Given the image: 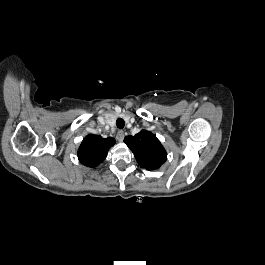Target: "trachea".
Masks as SVG:
<instances>
[{"instance_id": "3493384b", "label": "trachea", "mask_w": 265, "mask_h": 265, "mask_svg": "<svg viewBox=\"0 0 265 265\" xmlns=\"http://www.w3.org/2000/svg\"><path fill=\"white\" fill-rule=\"evenodd\" d=\"M116 126L119 129H122L125 126V121L122 118H118L116 121Z\"/></svg>"}]
</instances>
